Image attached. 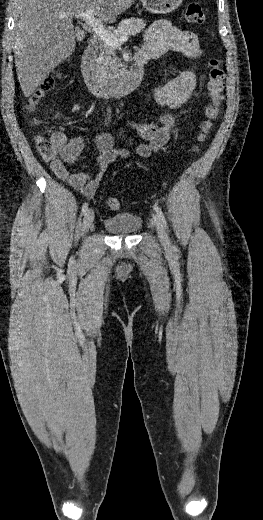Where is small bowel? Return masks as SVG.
<instances>
[{"label": "small bowel", "mask_w": 263, "mask_h": 520, "mask_svg": "<svg viewBox=\"0 0 263 520\" xmlns=\"http://www.w3.org/2000/svg\"><path fill=\"white\" fill-rule=\"evenodd\" d=\"M170 50L180 52L190 59H198L202 55L198 38L193 32L180 29L166 20H158L146 31L140 51L155 58ZM196 84V73L187 69L171 81L158 85L154 89L155 100L162 107L179 108L190 98ZM128 125L147 141L136 148L138 155L146 157L162 148L171 139L175 132L176 120L173 115L164 113L153 123L129 122ZM123 138L129 142V139L124 136ZM51 141L55 144L57 152V157L51 162L52 171L86 198L94 196L108 166L116 159L127 158L130 154L128 150L115 149L112 135L101 132L96 137V146L100 152L95 162L97 171L70 174L66 165H74L77 162L84 147L83 138L76 136L68 140L63 132L56 131L52 133Z\"/></svg>", "instance_id": "1"}]
</instances>
